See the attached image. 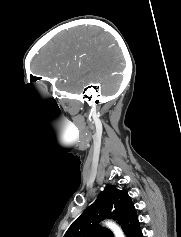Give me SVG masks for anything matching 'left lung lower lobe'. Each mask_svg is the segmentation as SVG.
I'll return each mask as SVG.
<instances>
[{"mask_svg": "<svg viewBox=\"0 0 181 237\" xmlns=\"http://www.w3.org/2000/svg\"><path fill=\"white\" fill-rule=\"evenodd\" d=\"M135 237H143L142 232H139Z\"/></svg>", "mask_w": 181, "mask_h": 237, "instance_id": "obj_1", "label": "left lung lower lobe"}]
</instances>
